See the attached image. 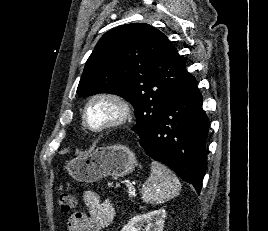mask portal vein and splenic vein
Instances as JSON below:
<instances>
[{
    "label": "portal vein and splenic vein",
    "instance_id": "obj_1",
    "mask_svg": "<svg viewBox=\"0 0 268 231\" xmlns=\"http://www.w3.org/2000/svg\"><path fill=\"white\" fill-rule=\"evenodd\" d=\"M128 191L131 192L133 190V187L131 184H127Z\"/></svg>",
    "mask_w": 268,
    "mask_h": 231
}]
</instances>
